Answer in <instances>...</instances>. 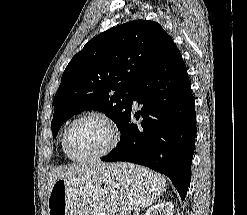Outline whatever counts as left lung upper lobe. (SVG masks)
Returning a JSON list of instances; mask_svg holds the SVG:
<instances>
[{"label":"left lung upper lobe","instance_id":"left-lung-upper-lobe-1","mask_svg":"<svg viewBox=\"0 0 247 215\" xmlns=\"http://www.w3.org/2000/svg\"><path fill=\"white\" fill-rule=\"evenodd\" d=\"M171 37L160 24L134 20L89 41L66 67L53 105V136L86 110L107 114L120 128L143 78L161 60Z\"/></svg>","mask_w":247,"mask_h":215}]
</instances>
